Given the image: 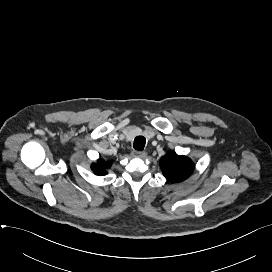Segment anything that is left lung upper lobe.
Returning a JSON list of instances; mask_svg holds the SVG:
<instances>
[{"label": "left lung upper lobe", "mask_w": 272, "mask_h": 272, "mask_svg": "<svg viewBox=\"0 0 272 272\" xmlns=\"http://www.w3.org/2000/svg\"><path fill=\"white\" fill-rule=\"evenodd\" d=\"M163 175L171 182H181L187 179L194 170V163L187 156L177 155L170 151L160 160Z\"/></svg>", "instance_id": "1"}]
</instances>
